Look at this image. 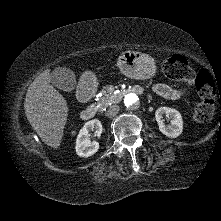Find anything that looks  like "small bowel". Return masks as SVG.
<instances>
[{
  "label": "small bowel",
  "instance_id": "c3829d8e",
  "mask_svg": "<svg viewBox=\"0 0 221 221\" xmlns=\"http://www.w3.org/2000/svg\"><path fill=\"white\" fill-rule=\"evenodd\" d=\"M139 91V89H136ZM155 91L160 96L170 99V100H178L184 95L183 89L173 88L166 84H158L155 86Z\"/></svg>",
  "mask_w": 221,
  "mask_h": 221
}]
</instances>
